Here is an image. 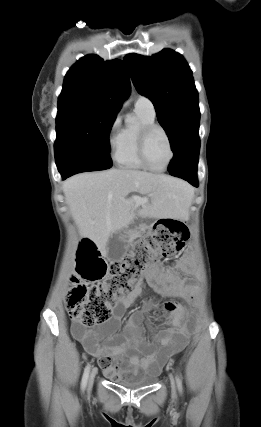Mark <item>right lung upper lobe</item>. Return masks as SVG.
Segmentation results:
<instances>
[{
	"label": "right lung upper lobe",
	"mask_w": 261,
	"mask_h": 427,
	"mask_svg": "<svg viewBox=\"0 0 261 427\" xmlns=\"http://www.w3.org/2000/svg\"><path fill=\"white\" fill-rule=\"evenodd\" d=\"M130 94L129 76L120 59L104 61L87 55L67 72L58 98V111L89 108L117 114Z\"/></svg>",
	"instance_id": "1"
}]
</instances>
